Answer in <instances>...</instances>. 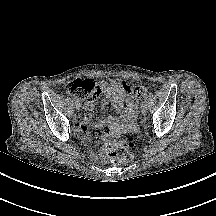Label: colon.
Wrapping results in <instances>:
<instances>
[{
    "mask_svg": "<svg viewBox=\"0 0 216 216\" xmlns=\"http://www.w3.org/2000/svg\"><path fill=\"white\" fill-rule=\"evenodd\" d=\"M66 91L79 98L83 102L93 103L102 93L101 86L91 79H77L70 82L65 87ZM149 91V87L144 85L131 86V93L135 98H142ZM107 127L102 132L106 133ZM132 139H121L119 141H106L101 145V152L111 159L115 165L127 163L133 159Z\"/></svg>",
    "mask_w": 216,
    "mask_h": 216,
    "instance_id": "obj_1",
    "label": "colon"
}]
</instances>
